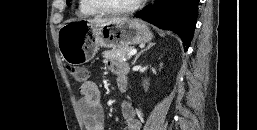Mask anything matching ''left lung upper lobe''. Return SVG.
<instances>
[{"mask_svg": "<svg viewBox=\"0 0 257 130\" xmlns=\"http://www.w3.org/2000/svg\"><path fill=\"white\" fill-rule=\"evenodd\" d=\"M71 0H67V3H69Z\"/></svg>", "mask_w": 257, "mask_h": 130, "instance_id": "obj_1", "label": "left lung upper lobe"}]
</instances>
